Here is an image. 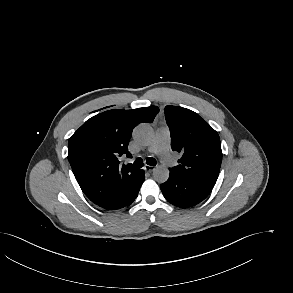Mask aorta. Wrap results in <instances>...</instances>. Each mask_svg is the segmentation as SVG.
I'll return each instance as SVG.
<instances>
[{
	"label": "aorta",
	"mask_w": 293,
	"mask_h": 293,
	"mask_svg": "<svg viewBox=\"0 0 293 293\" xmlns=\"http://www.w3.org/2000/svg\"><path fill=\"white\" fill-rule=\"evenodd\" d=\"M134 139L140 144H148L153 138V130L147 124L138 125L133 131ZM154 179L159 183H164L169 178V170L165 166H157L153 171Z\"/></svg>",
	"instance_id": "762f6f07"
}]
</instances>
